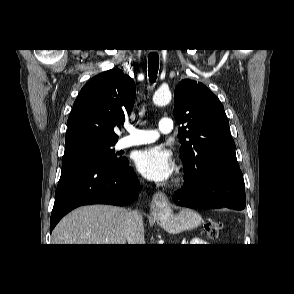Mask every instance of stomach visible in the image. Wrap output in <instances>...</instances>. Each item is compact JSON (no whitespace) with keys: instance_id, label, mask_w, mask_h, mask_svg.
Returning <instances> with one entry per match:
<instances>
[{"instance_id":"0dacf381","label":"stomach","mask_w":294,"mask_h":294,"mask_svg":"<svg viewBox=\"0 0 294 294\" xmlns=\"http://www.w3.org/2000/svg\"><path fill=\"white\" fill-rule=\"evenodd\" d=\"M160 225L170 233L190 230L201 223V216L191 209H182L175 214L171 209L163 210L157 215Z\"/></svg>"}]
</instances>
